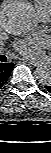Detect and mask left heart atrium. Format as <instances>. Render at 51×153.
Instances as JSON below:
<instances>
[{
	"mask_svg": "<svg viewBox=\"0 0 51 153\" xmlns=\"http://www.w3.org/2000/svg\"><path fill=\"white\" fill-rule=\"evenodd\" d=\"M49 43L47 36L37 34L14 43L15 50L22 56L34 59L40 56L42 49Z\"/></svg>",
	"mask_w": 51,
	"mask_h": 153,
	"instance_id": "39dd6f15",
	"label": "left heart atrium"
}]
</instances>
